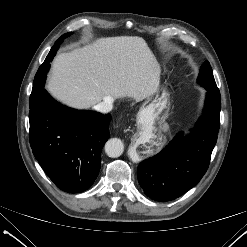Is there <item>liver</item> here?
Returning <instances> with one entry per match:
<instances>
[{
  "instance_id": "1",
  "label": "liver",
  "mask_w": 247,
  "mask_h": 247,
  "mask_svg": "<svg viewBox=\"0 0 247 247\" xmlns=\"http://www.w3.org/2000/svg\"><path fill=\"white\" fill-rule=\"evenodd\" d=\"M159 85L160 67L143 38L118 36L57 55L46 88L61 103L88 109L107 97L142 101Z\"/></svg>"
}]
</instances>
